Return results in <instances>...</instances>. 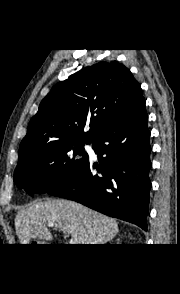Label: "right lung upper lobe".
Returning a JSON list of instances; mask_svg holds the SVG:
<instances>
[{
	"mask_svg": "<svg viewBox=\"0 0 180 294\" xmlns=\"http://www.w3.org/2000/svg\"><path fill=\"white\" fill-rule=\"evenodd\" d=\"M142 101L139 83L123 64L99 62L80 70L43 99L20 144L18 162L42 148L92 142ZM85 126H90L87 132Z\"/></svg>",
	"mask_w": 180,
	"mask_h": 294,
	"instance_id": "right-lung-upper-lobe-1",
	"label": "right lung upper lobe"
}]
</instances>
